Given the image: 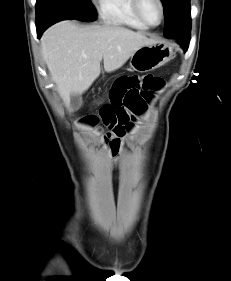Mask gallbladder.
Instances as JSON below:
<instances>
[{
  "instance_id": "bac80fb5",
  "label": "gallbladder",
  "mask_w": 231,
  "mask_h": 281,
  "mask_svg": "<svg viewBox=\"0 0 231 281\" xmlns=\"http://www.w3.org/2000/svg\"><path fill=\"white\" fill-rule=\"evenodd\" d=\"M81 96L80 95H71L70 107L71 110L77 111L81 106Z\"/></svg>"
}]
</instances>
